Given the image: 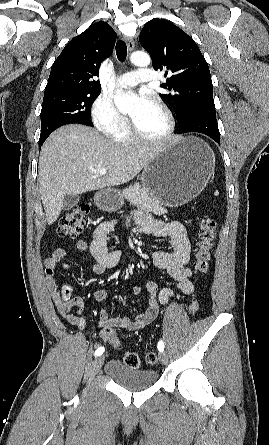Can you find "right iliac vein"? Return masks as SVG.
I'll return each instance as SVG.
<instances>
[{
    "mask_svg": "<svg viewBox=\"0 0 269 445\" xmlns=\"http://www.w3.org/2000/svg\"><path fill=\"white\" fill-rule=\"evenodd\" d=\"M104 359H105V357L103 355H101L94 360V362L92 363V368H91L92 376H94L96 373H98V371L100 370V368L102 367V365L104 363Z\"/></svg>",
    "mask_w": 269,
    "mask_h": 445,
    "instance_id": "1",
    "label": "right iliac vein"
}]
</instances>
